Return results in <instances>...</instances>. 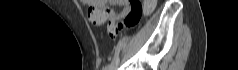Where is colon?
I'll use <instances>...</instances> for the list:
<instances>
[{
	"label": "colon",
	"instance_id": "obj_1",
	"mask_svg": "<svg viewBox=\"0 0 238 70\" xmlns=\"http://www.w3.org/2000/svg\"><path fill=\"white\" fill-rule=\"evenodd\" d=\"M129 12L125 18L124 25L126 27H134L138 24L144 13H150L156 6V0H145L141 2L139 0L127 1ZM118 19L108 20V34L110 37H115L119 31L120 24Z\"/></svg>",
	"mask_w": 238,
	"mask_h": 70
}]
</instances>
